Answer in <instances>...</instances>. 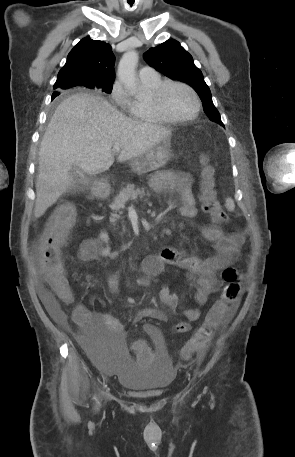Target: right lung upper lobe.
<instances>
[{
	"label": "right lung upper lobe",
	"mask_w": 295,
	"mask_h": 457,
	"mask_svg": "<svg viewBox=\"0 0 295 457\" xmlns=\"http://www.w3.org/2000/svg\"><path fill=\"white\" fill-rule=\"evenodd\" d=\"M115 57L111 46L100 40L83 38L68 54L66 64L58 73L54 89L69 85L94 88L113 84Z\"/></svg>",
	"instance_id": "right-lung-upper-lobe-1"
}]
</instances>
